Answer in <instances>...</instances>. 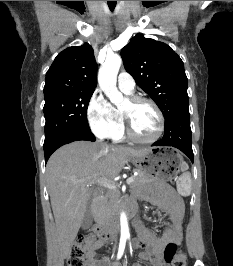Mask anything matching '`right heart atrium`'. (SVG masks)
<instances>
[{
	"mask_svg": "<svg viewBox=\"0 0 233 266\" xmlns=\"http://www.w3.org/2000/svg\"><path fill=\"white\" fill-rule=\"evenodd\" d=\"M86 115L90 129L99 138H113L122 128V121L115 108L100 90L91 95Z\"/></svg>",
	"mask_w": 233,
	"mask_h": 266,
	"instance_id": "right-heart-atrium-1",
	"label": "right heart atrium"
}]
</instances>
